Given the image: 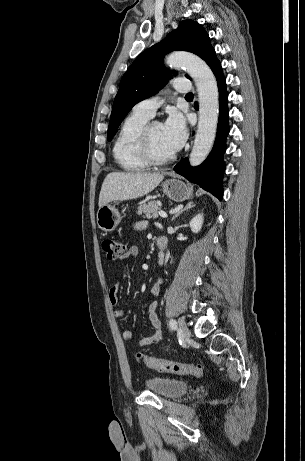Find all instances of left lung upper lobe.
<instances>
[{
  "label": "left lung upper lobe",
  "mask_w": 305,
  "mask_h": 461,
  "mask_svg": "<svg viewBox=\"0 0 305 461\" xmlns=\"http://www.w3.org/2000/svg\"><path fill=\"white\" fill-rule=\"evenodd\" d=\"M174 50L197 54L208 65L215 58L208 34L192 20L182 21L164 40L142 52L121 79L112 107L108 141L135 104L156 94L172 78L173 72L166 70L162 62L164 55Z\"/></svg>",
  "instance_id": "obj_1"
}]
</instances>
